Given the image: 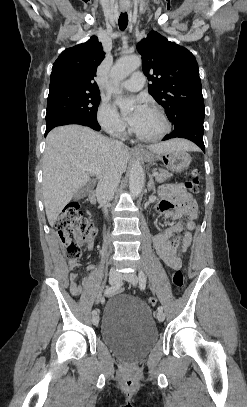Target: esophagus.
<instances>
[{
    "instance_id": "esophagus-1",
    "label": "esophagus",
    "mask_w": 247,
    "mask_h": 407,
    "mask_svg": "<svg viewBox=\"0 0 247 407\" xmlns=\"http://www.w3.org/2000/svg\"><path fill=\"white\" fill-rule=\"evenodd\" d=\"M121 10H122L123 12H125V11H127L128 9H127L126 7H122ZM140 149H141V148L135 146V147L132 148V151H138V150H140Z\"/></svg>"
}]
</instances>
